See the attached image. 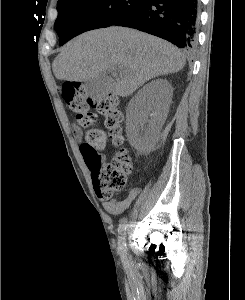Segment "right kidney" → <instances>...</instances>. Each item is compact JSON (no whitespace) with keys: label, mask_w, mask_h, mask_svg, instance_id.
Listing matches in <instances>:
<instances>
[{"label":"right kidney","mask_w":245,"mask_h":300,"mask_svg":"<svg viewBox=\"0 0 245 300\" xmlns=\"http://www.w3.org/2000/svg\"><path fill=\"white\" fill-rule=\"evenodd\" d=\"M172 95L171 84L166 79H156L140 89L129 102L126 134L130 145L137 151L146 152L155 146L167 118Z\"/></svg>","instance_id":"obj_1"}]
</instances>
